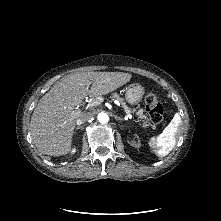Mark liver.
I'll return each mask as SVG.
<instances>
[{
  "mask_svg": "<svg viewBox=\"0 0 221 221\" xmlns=\"http://www.w3.org/2000/svg\"><path fill=\"white\" fill-rule=\"evenodd\" d=\"M131 78V74L123 72H82L55 84L39 100L31 117L30 132L38 151L51 156L68 154L76 120L83 113L75 107L86 96L106 95Z\"/></svg>",
  "mask_w": 221,
  "mask_h": 221,
  "instance_id": "obj_1",
  "label": "liver"
}]
</instances>
